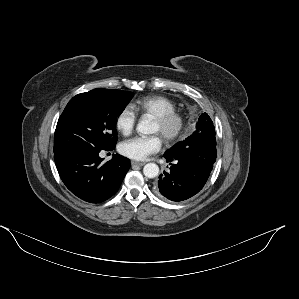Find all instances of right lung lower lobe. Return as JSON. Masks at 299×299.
Listing matches in <instances>:
<instances>
[{"label": "right lung lower lobe", "instance_id": "right-lung-lower-lobe-1", "mask_svg": "<svg viewBox=\"0 0 299 299\" xmlns=\"http://www.w3.org/2000/svg\"><path fill=\"white\" fill-rule=\"evenodd\" d=\"M100 151L77 147L54 153L63 183L77 197L90 203L103 202L114 195L130 168L129 160L118 154L102 163L104 159L99 157Z\"/></svg>", "mask_w": 299, "mask_h": 299}]
</instances>
